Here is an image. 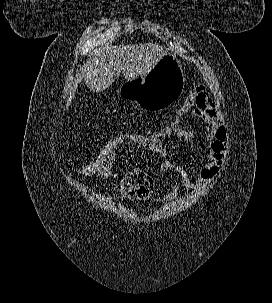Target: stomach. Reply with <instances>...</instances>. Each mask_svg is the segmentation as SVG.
I'll use <instances>...</instances> for the list:
<instances>
[{"instance_id":"stomach-1","label":"stomach","mask_w":272,"mask_h":303,"mask_svg":"<svg viewBox=\"0 0 272 303\" xmlns=\"http://www.w3.org/2000/svg\"><path fill=\"white\" fill-rule=\"evenodd\" d=\"M184 86L180 61L174 54L167 53L145 76L123 83L118 94L142 109L155 110L178 99Z\"/></svg>"}]
</instances>
